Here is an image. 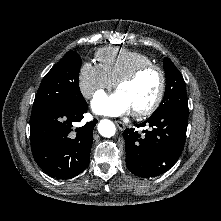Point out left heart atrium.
Instances as JSON below:
<instances>
[{
  "label": "left heart atrium",
  "instance_id": "39dd6f15",
  "mask_svg": "<svg viewBox=\"0 0 221 221\" xmlns=\"http://www.w3.org/2000/svg\"><path fill=\"white\" fill-rule=\"evenodd\" d=\"M92 108L96 113L114 116L132 111L131 105L119 91L111 95L99 93L92 101Z\"/></svg>",
  "mask_w": 221,
  "mask_h": 221
}]
</instances>
